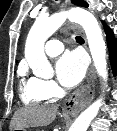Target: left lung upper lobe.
<instances>
[{"mask_svg":"<svg viewBox=\"0 0 117 131\" xmlns=\"http://www.w3.org/2000/svg\"><path fill=\"white\" fill-rule=\"evenodd\" d=\"M72 3L82 7H88V4L83 0H72Z\"/></svg>","mask_w":117,"mask_h":131,"instance_id":"obj_1","label":"left lung upper lobe"}]
</instances>
